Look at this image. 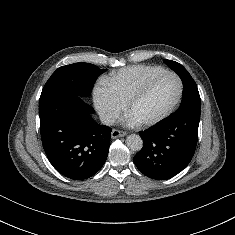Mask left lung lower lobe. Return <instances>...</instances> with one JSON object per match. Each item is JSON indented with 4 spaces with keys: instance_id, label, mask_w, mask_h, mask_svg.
<instances>
[{
    "instance_id": "left-lung-lower-lobe-1",
    "label": "left lung lower lobe",
    "mask_w": 235,
    "mask_h": 235,
    "mask_svg": "<svg viewBox=\"0 0 235 235\" xmlns=\"http://www.w3.org/2000/svg\"><path fill=\"white\" fill-rule=\"evenodd\" d=\"M200 111L177 112L155 126L140 131L144 145L134 157L146 176L165 180L182 171L191 161L198 139Z\"/></svg>"
}]
</instances>
